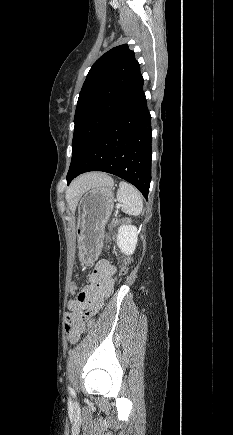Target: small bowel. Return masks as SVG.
Instances as JSON below:
<instances>
[{
    "instance_id": "small-bowel-1",
    "label": "small bowel",
    "mask_w": 233,
    "mask_h": 435,
    "mask_svg": "<svg viewBox=\"0 0 233 435\" xmlns=\"http://www.w3.org/2000/svg\"><path fill=\"white\" fill-rule=\"evenodd\" d=\"M115 267L106 260L98 262L95 269L89 274V284L69 301V312L66 316V326L71 328L72 337L76 338L85 332L90 320L102 307L114 285ZM78 289L77 284L70 286L71 291Z\"/></svg>"
}]
</instances>
